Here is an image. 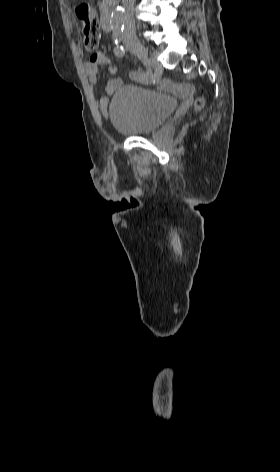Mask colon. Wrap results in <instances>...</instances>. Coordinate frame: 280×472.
I'll use <instances>...</instances> for the list:
<instances>
[{
    "instance_id": "colon-1",
    "label": "colon",
    "mask_w": 280,
    "mask_h": 472,
    "mask_svg": "<svg viewBox=\"0 0 280 472\" xmlns=\"http://www.w3.org/2000/svg\"><path fill=\"white\" fill-rule=\"evenodd\" d=\"M75 11L81 24L85 47L92 51L97 47L101 37L97 13L87 2H79ZM203 106L204 99L202 97L197 98L194 104L195 110H200Z\"/></svg>"
}]
</instances>
